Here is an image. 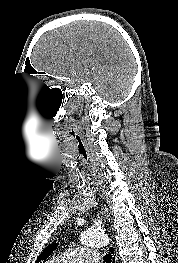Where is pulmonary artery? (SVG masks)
I'll use <instances>...</instances> for the list:
<instances>
[{
  "instance_id": "e3ab8cb5",
  "label": "pulmonary artery",
  "mask_w": 178,
  "mask_h": 263,
  "mask_svg": "<svg viewBox=\"0 0 178 263\" xmlns=\"http://www.w3.org/2000/svg\"><path fill=\"white\" fill-rule=\"evenodd\" d=\"M60 263H98L99 254L91 248H74L56 258Z\"/></svg>"
}]
</instances>
